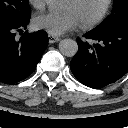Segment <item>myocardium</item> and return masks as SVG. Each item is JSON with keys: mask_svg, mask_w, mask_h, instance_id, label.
Returning <instances> with one entry per match:
<instances>
[{"mask_svg": "<svg viewBox=\"0 0 128 128\" xmlns=\"http://www.w3.org/2000/svg\"><path fill=\"white\" fill-rule=\"evenodd\" d=\"M73 1L77 2L79 0H73ZM113 3H114V0H105L104 6L102 7L100 12L95 17H93L90 20L80 22L82 27L83 28H92V27H95L98 24H100L105 19L107 14L109 13Z\"/></svg>", "mask_w": 128, "mask_h": 128, "instance_id": "obj_1", "label": "myocardium"}]
</instances>
